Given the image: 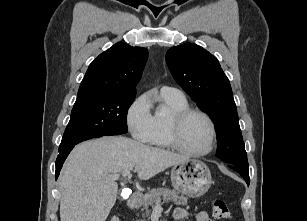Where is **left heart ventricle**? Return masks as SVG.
<instances>
[{
  "instance_id": "obj_1",
  "label": "left heart ventricle",
  "mask_w": 307,
  "mask_h": 221,
  "mask_svg": "<svg viewBox=\"0 0 307 221\" xmlns=\"http://www.w3.org/2000/svg\"><path fill=\"white\" fill-rule=\"evenodd\" d=\"M210 138V127L203 117L192 115L185 121L180 141L186 149L193 152L204 151L209 147Z\"/></svg>"
}]
</instances>
